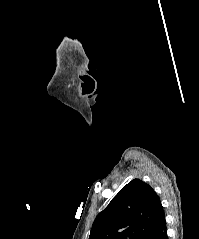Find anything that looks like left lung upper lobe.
Here are the masks:
<instances>
[{
	"label": "left lung upper lobe",
	"instance_id": "left-lung-upper-lobe-1",
	"mask_svg": "<svg viewBox=\"0 0 199 239\" xmlns=\"http://www.w3.org/2000/svg\"><path fill=\"white\" fill-rule=\"evenodd\" d=\"M163 212L152 187L134 179L97 215L89 239H148Z\"/></svg>",
	"mask_w": 199,
	"mask_h": 239
}]
</instances>
